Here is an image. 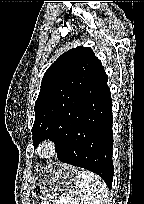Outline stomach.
Listing matches in <instances>:
<instances>
[{
    "mask_svg": "<svg viewBox=\"0 0 144 204\" xmlns=\"http://www.w3.org/2000/svg\"><path fill=\"white\" fill-rule=\"evenodd\" d=\"M79 173L75 167L63 164L47 166L33 182L31 193L34 198L41 199V204H54L57 198L77 188Z\"/></svg>",
    "mask_w": 144,
    "mask_h": 204,
    "instance_id": "0dacf381",
    "label": "stomach"
}]
</instances>
